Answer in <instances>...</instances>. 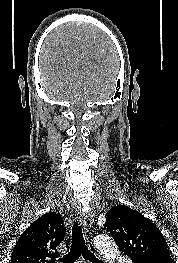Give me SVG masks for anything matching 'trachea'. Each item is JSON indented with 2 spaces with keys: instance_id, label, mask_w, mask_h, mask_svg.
Returning a JSON list of instances; mask_svg holds the SVG:
<instances>
[{
  "instance_id": "obj_1",
  "label": "trachea",
  "mask_w": 178,
  "mask_h": 263,
  "mask_svg": "<svg viewBox=\"0 0 178 263\" xmlns=\"http://www.w3.org/2000/svg\"><path fill=\"white\" fill-rule=\"evenodd\" d=\"M70 252L64 257L58 259L61 263H74L82 255L83 258L92 263H101V261L95 257L93 253L88 250L83 237L82 226L75 222L72 227V239H71Z\"/></svg>"
}]
</instances>
